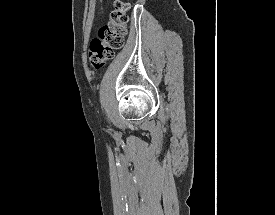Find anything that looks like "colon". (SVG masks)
<instances>
[{"mask_svg":"<svg viewBox=\"0 0 275 215\" xmlns=\"http://www.w3.org/2000/svg\"><path fill=\"white\" fill-rule=\"evenodd\" d=\"M129 8L130 4L127 0H115L109 22L103 25L98 36L91 40L88 61L95 70L103 68L105 63L112 60L123 46Z\"/></svg>","mask_w":275,"mask_h":215,"instance_id":"colon-1","label":"colon"}]
</instances>
